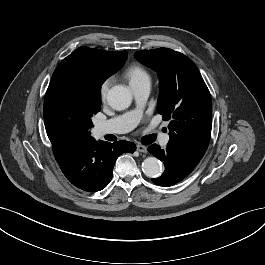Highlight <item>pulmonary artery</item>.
<instances>
[{"label": "pulmonary artery", "instance_id": "1", "mask_svg": "<svg viewBox=\"0 0 265 265\" xmlns=\"http://www.w3.org/2000/svg\"><path fill=\"white\" fill-rule=\"evenodd\" d=\"M131 88L136 100V107L131 111L99 122L96 125V133L99 136L109 133H126L133 130L137 126L142 117L144 103L146 102L151 91V81L145 80L143 82L133 84L131 85ZM154 135L159 139L160 144L166 145L168 143V135L163 134L159 129H156Z\"/></svg>", "mask_w": 265, "mask_h": 265}]
</instances>
